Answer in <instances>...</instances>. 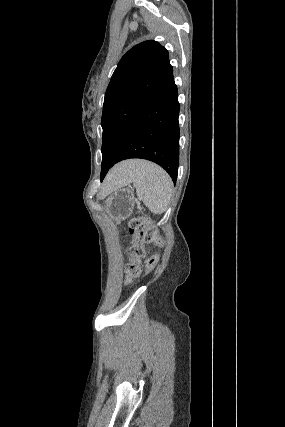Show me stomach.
<instances>
[{"mask_svg":"<svg viewBox=\"0 0 285 427\" xmlns=\"http://www.w3.org/2000/svg\"><path fill=\"white\" fill-rule=\"evenodd\" d=\"M135 196L129 187H118L107 194L104 200V210L114 221H122L128 218L134 207Z\"/></svg>","mask_w":285,"mask_h":427,"instance_id":"obj_1","label":"stomach"}]
</instances>
